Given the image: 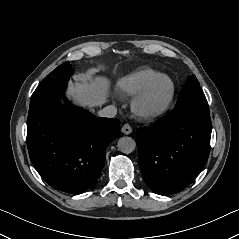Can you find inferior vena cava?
<instances>
[{
	"label": "inferior vena cava",
	"mask_w": 239,
	"mask_h": 239,
	"mask_svg": "<svg viewBox=\"0 0 239 239\" xmlns=\"http://www.w3.org/2000/svg\"><path fill=\"white\" fill-rule=\"evenodd\" d=\"M116 114L117 108L113 105L106 106L98 112V115L100 117H108V118L115 117Z\"/></svg>",
	"instance_id": "inferior-vena-cava-1"
}]
</instances>
